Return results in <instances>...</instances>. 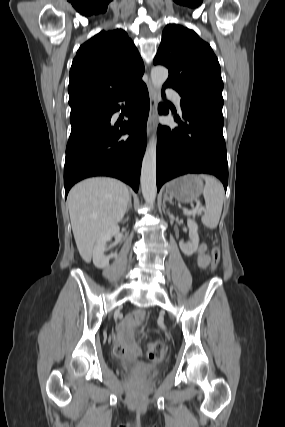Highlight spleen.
<instances>
[{
	"instance_id": "spleen-1",
	"label": "spleen",
	"mask_w": 285,
	"mask_h": 427,
	"mask_svg": "<svg viewBox=\"0 0 285 427\" xmlns=\"http://www.w3.org/2000/svg\"><path fill=\"white\" fill-rule=\"evenodd\" d=\"M199 177L204 179L206 183L203 189L206 210L201 220L206 227L214 229L220 220L224 191L219 181L214 177L204 174Z\"/></svg>"
}]
</instances>
